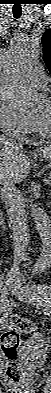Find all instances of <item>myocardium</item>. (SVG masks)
Masks as SVG:
<instances>
[{
    "label": "myocardium",
    "instance_id": "f54148a6",
    "mask_svg": "<svg viewBox=\"0 0 51 393\" xmlns=\"http://www.w3.org/2000/svg\"><path fill=\"white\" fill-rule=\"evenodd\" d=\"M49 104H51V97L47 98L46 100ZM35 125L38 128V130L40 131V134L47 138L51 136V131L47 130L38 120H35Z\"/></svg>",
    "mask_w": 51,
    "mask_h": 393
}]
</instances>
